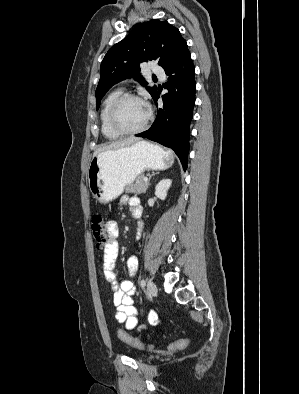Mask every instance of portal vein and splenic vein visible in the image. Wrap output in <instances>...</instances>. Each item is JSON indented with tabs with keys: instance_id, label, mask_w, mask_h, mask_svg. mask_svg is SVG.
<instances>
[{
	"instance_id": "portal-vein-and-splenic-vein-1",
	"label": "portal vein and splenic vein",
	"mask_w": 299,
	"mask_h": 394,
	"mask_svg": "<svg viewBox=\"0 0 299 394\" xmlns=\"http://www.w3.org/2000/svg\"><path fill=\"white\" fill-rule=\"evenodd\" d=\"M149 179L147 177L144 178V182H148Z\"/></svg>"
}]
</instances>
